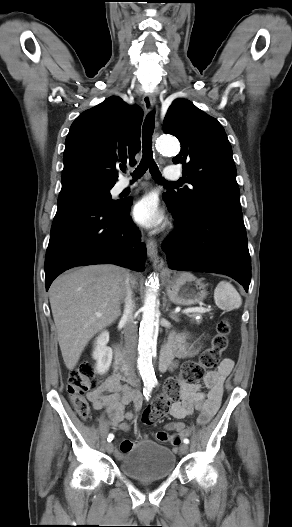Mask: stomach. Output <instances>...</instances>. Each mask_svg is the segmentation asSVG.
<instances>
[{"label": "stomach", "mask_w": 292, "mask_h": 527, "mask_svg": "<svg viewBox=\"0 0 292 527\" xmlns=\"http://www.w3.org/2000/svg\"><path fill=\"white\" fill-rule=\"evenodd\" d=\"M169 299L177 305L200 303L207 296L205 285L187 272H169L165 275Z\"/></svg>", "instance_id": "0dacf381"}]
</instances>
